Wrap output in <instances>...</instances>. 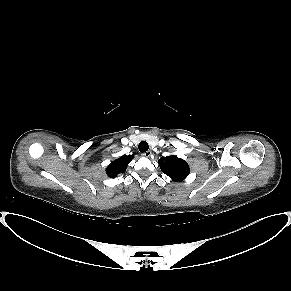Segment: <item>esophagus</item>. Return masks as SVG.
Listing matches in <instances>:
<instances>
[{"mask_svg":"<svg viewBox=\"0 0 291 291\" xmlns=\"http://www.w3.org/2000/svg\"><path fill=\"white\" fill-rule=\"evenodd\" d=\"M151 151H146L144 153H142V156L146 157V158H149L151 156Z\"/></svg>","mask_w":291,"mask_h":291,"instance_id":"esophagus-1","label":"esophagus"}]
</instances>
